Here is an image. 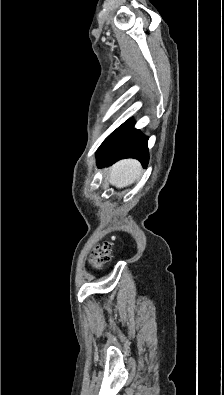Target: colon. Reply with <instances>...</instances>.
Segmentation results:
<instances>
[{"instance_id": "5ec220e1", "label": "colon", "mask_w": 224, "mask_h": 395, "mask_svg": "<svg viewBox=\"0 0 224 395\" xmlns=\"http://www.w3.org/2000/svg\"><path fill=\"white\" fill-rule=\"evenodd\" d=\"M111 243L105 242L101 246L97 247L90 258L92 266L99 268L109 262L111 258Z\"/></svg>"}]
</instances>
